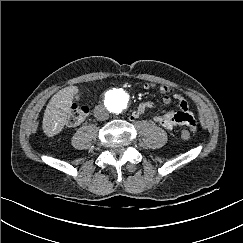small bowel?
Returning <instances> with one entry per match:
<instances>
[{"mask_svg":"<svg viewBox=\"0 0 243 243\" xmlns=\"http://www.w3.org/2000/svg\"><path fill=\"white\" fill-rule=\"evenodd\" d=\"M144 89L150 90L156 87L153 83H145ZM160 93L163 95V102L168 104L173 99L176 100L179 107V111H172L166 114L158 115L154 117V121L160 126L166 129H172L178 125H185L191 131L196 129V120L193 113L189 110V104L180 94H178L173 88L162 85L159 87ZM156 105L152 101H146L138 105L132 116L134 118L139 117L148 109L154 108Z\"/></svg>","mask_w":243,"mask_h":243,"instance_id":"small-bowel-1","label":"small bowel"}]
</instances>
